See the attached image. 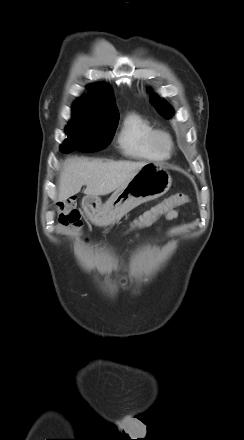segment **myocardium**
I'll use <instances>...</instances> for the list:
<instances>
[{"instance_id":"1","label":"myocardium","mask_w":244,"mask_h":440,"mask_svg":"<svg viewBox=\"0 0 244 440\" xmlns=\"http://www.w3.org/2000/svg\"><path fill=\"white\" fill-rule=\"evenodd\" d=\"M159 139H164L167 142L166 147H162L159 143ZM149 142L151 147L158 153L166 156L170 154L174 149V140L172 136L163 130L154 129L149 136Z\"/></svg>"}]
</instances>
